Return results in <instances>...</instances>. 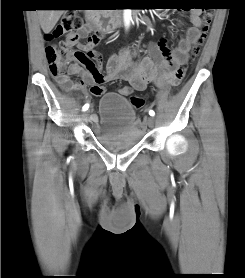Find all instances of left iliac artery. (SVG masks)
<instances>
[{"mask_svg":"<svg viewBox=\"0 0 245 278\" xmlns=\"http://www.w3.org/2000/svg\"><path fill=\"white\" fill-rule=\"evenodd\" d=\"M149 115H150V116H154V115H155V112H154L153 110H150V111H149Z\"/></svg>","mask_w":245,"mask_h":278,"instance_id":"1","label":"left iliac artery"}]
</instances>
